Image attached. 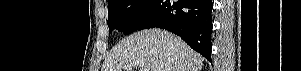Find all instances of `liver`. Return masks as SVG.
Here are the masks:
<instances>
[{
	"instance_id": "obj_1",
	"label": "liver",
	"mask_w": 301,
	"mask_h": 71,
	"mask_svg": "<svg viewBox=\"0 0 301 71\" xmlns=\"http://www.w3.org/2000/svg\"><path fill=\"white\" fill-rule=\"evenodd\" d=\"M204 58L181 38L161 29H146L121 40L101 71H200Z\"/></svg>"
}]
</instances>
